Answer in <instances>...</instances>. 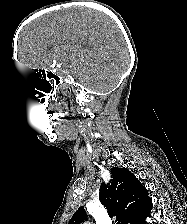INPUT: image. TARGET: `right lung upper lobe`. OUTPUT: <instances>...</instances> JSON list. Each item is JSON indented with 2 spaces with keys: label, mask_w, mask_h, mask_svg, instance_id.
Returning a JSON list of instances; mask_svg holds the SVG:
<instances>
[{
  "label": "right lung upper lobe",
  "mask_w": 187,
  "mask_h": 224,
  "mask_svg": "<svg viewBox=\"0 0 187 224\" xmlns=\"http://www.w3.org/2000/svg\"><path fill=\"white\" fill-rule=\"evenodd\" d=\"M112 180L102 183L99 200L107 208L110 217L116 216L117 224H134L150 212L152 204L147 189L129 170L111 168ZM87 214L83 206L73 214L69 224H80Z\"/></svg>",
  "instance_id": "right-lung-upper-lobe-1"
}]
</instances>
